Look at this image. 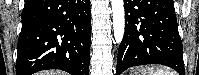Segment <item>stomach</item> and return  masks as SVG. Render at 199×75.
I'll return each instance as SVG.
<instances>
[{
	"mask_svg": "<svg viewBox=\"0 0 199 75\" xmlns=\"http://www.w3.org/2000/svg\"><path fill=\"white\" fill-rule=\"evenodd\" d=\"M140 70L131 71V75H135L134 73H138Z\"/></svg>",
	"mask_w": 199,
	"mask_h": 75,
	"instance_id": "obj_1",
	"label": "stomach"
}]
</instances>
